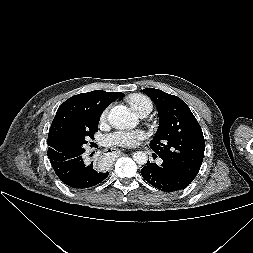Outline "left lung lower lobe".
Masks as SVG:
<instances>
[{
	"label": "left lung lower lobe",
	"mask_w": 253,
	"mask_h": 253,
	"mask_svg": "<svg viewBox=\"0 0 253 253\" xmlns=\"http://www.w3.org/2000/svg\"><path fill=\"white\" fill-rule=\"evenodd\" d=\"M141 175L150 185L164 192L182 190L194 179L176 164L164 159L160 166L147 161L141 169Z\"/></svg>",
	"instance_id": "1"
}]
</instances>
